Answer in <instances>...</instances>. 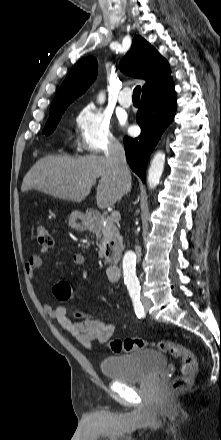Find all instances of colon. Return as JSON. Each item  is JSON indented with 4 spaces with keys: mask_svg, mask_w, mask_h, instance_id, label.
<instances>
[{
    "mask_svg": "<svg viewBox=\"0 0 221 440\" xmlns=\"http://www.w3.org/2000/svg\"><path fill=\"white\" fill-rule=\"evenodd\" d=\"M35 238L42 248L49 249L53 245L52 237L45 225H38L36 227ZM53 291L55 296L61 301H69L73 296V287L68 281L59 282ZM69 312L67 318L70 321H74L76 318H86L88 321L96 319L97 322H104L106 324L112 321L111 316L100 317L99 314L89 312L88 309H81L78 303L71 306ZM148 346H152L160 352L168 353L181 361L179 375L166 386L168 393L184 390L192 385L197 375V361L195 354L185 346L168 341L148 342L139 337L126 338L124 340L114 339L109 342V348L117 354L129 353Z\"/></svg>",
    "mask_w": 221,
    "mask_h": 440,
    "instance_id": "1",
    "label": "colon"
}]
</instances>
